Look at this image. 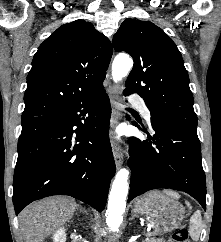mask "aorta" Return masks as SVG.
I'll list each match as a JSON object with an SVG mask.
<instances>
[{
	"label": "aorta",
	"instance_id": "762f6f07",
	"mask_svg": "<svg viewBox=\"0 0 221 242\" xmlns=\"http://www.w3.org/2000/svg\"><path fill=\"white\" fill-rule=\"evenodd\" d=\"M133 67V60L127 55H118L112 64L114 82L121 81ZM129 171L125 168L118 171L109 194L106 224L111 231H117L123 220L128 194Z\"/></svg>",
	"mask_w": 221,
	"mask_h": 242
}]
</instances>
